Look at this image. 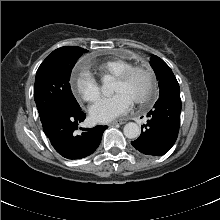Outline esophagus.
I'll list each match as a JSON object with an SVG mask.
<instances>
[{
	"label": "esophagus",
	"mask_w": 220,
	"mask_h": 220,
	"mask_svg": "<svg viewBox=\"0 0 220 220\" xmlns=\"http://www.w3.org/2000/svg\"><path fill=\"white\" fill-rule=\"evenodd\" d=\"M124 123H125V120L120 119V120H115V121H113V122L111 123V125H122V124H124Z\"/></svg>",
	"instance_id": "1"
}]
</instances>
